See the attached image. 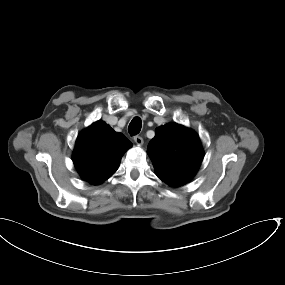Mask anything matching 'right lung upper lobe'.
<instances>
[{"label":"right lung upper lobe","instance_id":"obj_1","mask_svg":"<svg viewBox=\"0 0 285 285\" xmlns=\"http://www.w3.org/2000/svg\"><path fill=\"white\" fill-rule=\"evenodd\" d=\"M132 143L99 120L81 132L73 152V163L80 176L97 185L118 169L124 152Z\"/></svg>","mask_w":285,"mask_h":285}]
</instances>
